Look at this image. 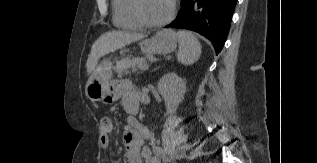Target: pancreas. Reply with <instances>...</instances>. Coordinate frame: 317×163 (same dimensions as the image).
<instances>
[{
	"mask_svg": "<svg viewBox=\"0 0 317 163\" xmlns=\"http://www.w3.org/2000/svg\"><path fill=\"white\" fill-rule=\"evenodd\" d=\"M147 61L148 58L146 57H124L115 61L114 71L118 76H122L128 74L130 69L135 71L137 68H140V66H148Z\"/></svg>",
	"mask_w": 317,
	"mask_h": 163,
	"instance_id": "1",
	"label": "pancreas"
}]
</instances>
